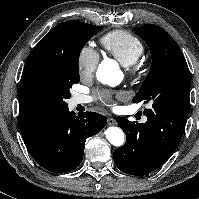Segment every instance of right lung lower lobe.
<instances>
[{
    "mask_svg": "<svg viewBox=\"0 0 199 199\" xmlns=\"http://www.w3.org/2000/svg\"><path fill=\"white\" fill-rule=\"evenodd\" d=\"M107 118L95 112L75 115L68 107L55 112L25 146L34 160L46 170L66 173L79 166L85 141L106 125Z\"/></svg>",
    "mask_w": 199,
    "mask_h": 199,
    "instance_id": "right-lung-lower-lobe-1",
    "label": "right lung lower lobe"
}]
</instances>
